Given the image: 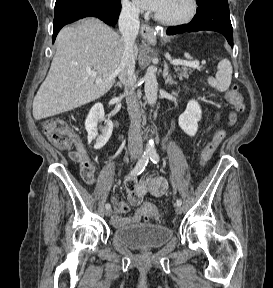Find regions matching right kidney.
I'll return each instance as SVG.
<instances>
[{
    "mask_svg": "<svg viewBox=\"0 0 273 288\" xmlns=\"http://www.w3.org/2000/svg\"><path fill=\"white\" fill-rule=\"evenodd\" d=\"M104 122L105 126H99L101 133H98V123ZM85 129L88 133V142L95 141L94 149H101L110 139L113 131V123L104 117V108L101 103H96L85 120Z\"/></svg>",
    "mask_w": 273,
    "mask_h": 288,
    "instance_id": "obj_1",
    "label": "right kidney"
}]
</instances>
